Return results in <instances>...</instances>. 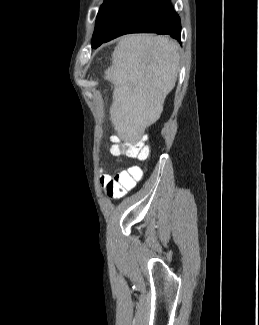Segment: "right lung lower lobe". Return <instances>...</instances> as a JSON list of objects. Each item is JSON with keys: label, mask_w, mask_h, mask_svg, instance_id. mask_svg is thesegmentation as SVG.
<instances>
[{"label": "right lung lower lobe", "mask_w": 259, "mask_h": 325, "mask_svg": "<svg viewBox=\"0 0 259 325\" xmlns=\"http://www.w3.org/2000/svg\"><path fill=\"white\" fill-rule=\"evenodd\" d=\"M139 32L166 34L180 41V17L174 11L171 2L169 0H134L103 42L127 33Z\"/></svg>", "instance_id": "1"}]
</instances>
